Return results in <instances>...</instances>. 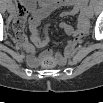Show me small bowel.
I'll use <instances>...</instances> for the list:
<instances>
[{
	"label": "small bowel",
	"mask_w": 103,
	"mask_h": 103,
	"mask_svg": "<svg viewBox=\"0 0 103 103\" xmlns=\"http://www.w3.org/2000/svg\"><path fill=\"white\" fill-rule=\"evenodd\" d=\"M12 2V1H10ZM11 7V9L9 8ZM16 11L14 12L13 19V39L14 42L26 53V63L31 67H37L42 60L47 57H53L59 64L66 63L74 54L78 45L82 42L83 38L89 31L88 11L89 6L86 2L82 1H57V0H45L37 4L33 0L16 2ZM7 7L13 12V4L9 3ZM67 8L62 11L60 16L63 18L78 16L76 25L69 23H62V30L70 37L67 44L62 50L50 51L43 50L48 42V27H46L43 33L40 32V24L42 20L48 17L52 12L60 8ZM28 29L30 32V41L28 42L24 32V24H17L18 19H25L27 15Z\"/></svg>",
	"instance_id": "obj_1"
}]
</instances>
